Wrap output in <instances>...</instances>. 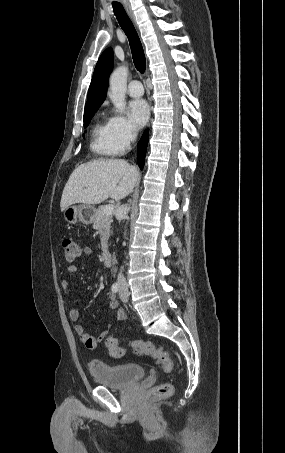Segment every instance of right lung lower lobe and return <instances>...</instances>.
<instances>
[{
	"instance_id": "1",
	"label": "right lung lower lobe",
	"mask_w": 285,
	"mask_h": 453,
	"mask_svg": "<svg viewBox=\"0 0 285 453\" xmlns=\"http://www.w3.org/2000/svg\"><path fill=\"white\" fill-rule=\"evenodd\" d=\"M148 140H149V132H148V130H146L137 145L138 165H139L140 169H143V166H144Z\"/></svg>"
}]
</instances>
